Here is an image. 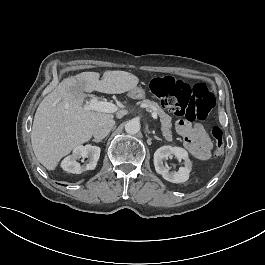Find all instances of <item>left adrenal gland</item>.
Here are the masks:
<instances>
[{"mask_svg":"<svg viewBox=\"0 0 265 265\" xmlns=\"http://www.w3.org/2000/svg\"><path fill=\"white\" fill-rule=\"evenodd\" d=\"M152 133H153V134H155V131H152ZM154 138H155V139H157V140H160V141H162V139H161V138H159V137H157V136H154Z\"/></svg>","mask_w":265,"mask_h":265,"instance_id":"obj_1","label":"left adrenal gland"}]
</instances>
